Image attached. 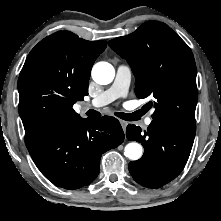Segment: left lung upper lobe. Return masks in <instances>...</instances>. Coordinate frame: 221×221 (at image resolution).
<instances>
[{"label": "left lung upper lobe", "mask_w": 221, "mask_h": 221, "mask_svg": "<svg viewBox=\"0 0 221 221\" xmlns=\"http://www.w3.org/2000/svg\"><path fill=\"white\" fill-rule=\"evenodd\" d=\"M135 75L138 98L154 97L153 120L196 130V65L191 49L166 24L148 21L109 41Z\"/></svg>", "instance_id": "5c2ea615"}]
</instances>
